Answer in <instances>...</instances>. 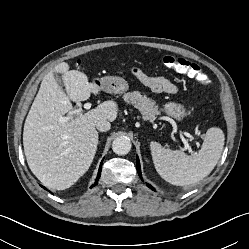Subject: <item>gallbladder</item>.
Masks as SVG:
<instances>
[{"label":"gallbladder","mask_w":249,"mask_h":249,"mask_svg":"<svg viewBox=\"0 0 249 249\" xmlns=\"http://www.w3.org/2000/svg\"><path fill=\"white\" fill-rule=\"evenodd\" d=\"M55 79L57 80L58 84L62 87L63 86V81L61 78V75L58 73H54Z\"/></svg>","instance_id":"gallbladder-1"}]
</instances>
